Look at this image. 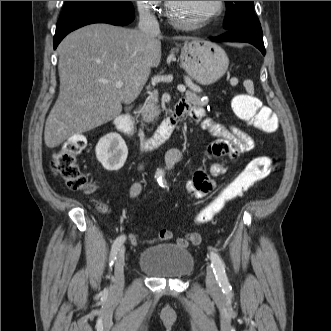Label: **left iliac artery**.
<instances>
[{
    "label": "left iliac artery",
    "instance_id": "obj_1",
    "mask_svg": "<svg viewBox=\"0 0 331 331\" xmlns=\"http://www.w3.org/2000/svg\"><path fill=\"white\" fill-rule=\"evenodd\" d=\"M157 181L161 186H165L166 181L163 179L162 175L158 174L157 175ZM211 267L213 268V272L215 274L216 280L219 283V286L223 290H228L231 288L226 272H225V266L224 263L222 262L221 258L219 255L215 252H211Z\"/></svg>",
    "mask_w": 331,
    "mask_h": 331
}]
</instances>
